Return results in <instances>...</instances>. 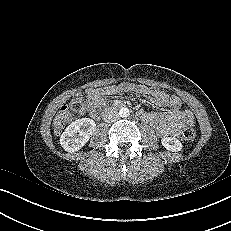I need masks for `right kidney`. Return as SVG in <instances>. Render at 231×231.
<instances>
[{
    "label": "right kidney",
    "instance_id": "ca27d5eb",
    "mask_svg": "<svg viewBox=\"0 0 231 231\" xmlns=\"http://www.w3.org/2000/svg\"><path fill=\"white\" fill-rule=\"evenodd\" d=\"M95 127V121L90 118H81L72 122L61 134V146L67 152L80 150L90 139Z\"/></svg>",
    "mask_w": 231,
    "mask_h": 231
}]
</instances>
